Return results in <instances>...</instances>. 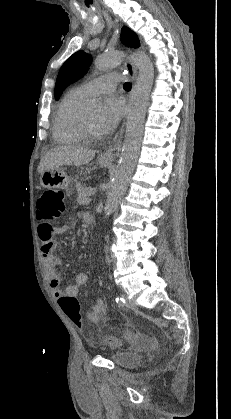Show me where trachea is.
<instances>
[{
    "mask_svg": "<svg viewBox=\"0 0 231 419\" xmlns=\"http://www.w3.org/2000/svg\"><path fill=\"white\" fill-rule=\"evenodd\" d=\"M124 88H125L126 90H130V89H131V84H130L129 82H126V83L124 84Z\"/></svg>",
    "mask_w": 231,
    "mask_h": 419,
    "instance_id": "trachea-1",
    "label": "trachea"
}]
</instances>
